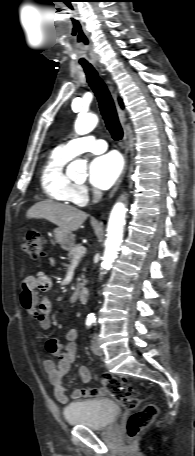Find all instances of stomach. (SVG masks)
Listing matches in <instances>:
<instances>
[{
  "mask_svg": "<svg viewBox=\"0 0 195 456\" xmlns=\"http://www.w3.org/2000/svg\"><path fill=\"white\" fill-rule=\"evenodd\" d=\"M55 241L63 248L70 249L75 242V236L72 233H67L61 228H56L53 231Z\"/></svg>",
  "mask_w": 195,
  "mask_h": 456,
  "instance_id": "0dacf381",
  "label": "stomach"
}]
</instances>
